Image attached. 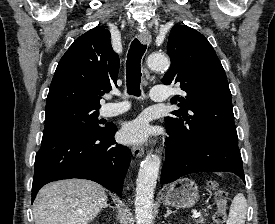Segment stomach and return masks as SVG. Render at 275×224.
Here are the masks:
<instances>
[{"mask_svg":"<svg viewBox=\"0 0 275 224\" xmlns=\"http://www.w3.org/2000/svg\"><path fill=\"white\" fill-rule=\"evenodd\" d=\"M164 203L175 208H191L199 199L196 183L189 178H182L170 184L164 193Z\"/></svg>","mask_w":275,"mask_h":224,"instance_id":"0dacf381","label":"stomach"}]
</instances>
